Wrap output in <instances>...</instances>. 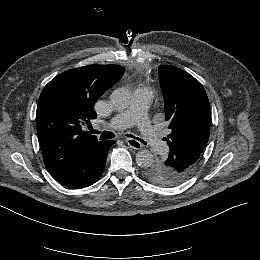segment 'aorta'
<instances>
[{"mask_svg":"<svg viewBox=\"0 0 260 260\" xmlns=\"http://www.w3.org/2000/svg\"><path fill=\"white\" fill-rule=\"evenodd\" d=\"M131 94L125 88H117L110 95V102L116 110H124L130 105ZM153 154L142 149L136 154V163L142 168L150 167L153 164Z\"/></svg>","mask_w":260,"mask_h":260,"instance_id":"1","label":"aorta"}]
</instances>
